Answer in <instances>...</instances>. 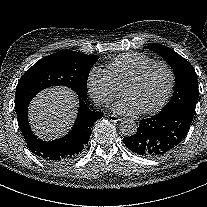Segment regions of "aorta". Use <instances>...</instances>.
Here are the masks:
<instances>
[{
	"mask_svg": "<svg viewBox=\"0 0 207 207\" xmlns=\"http://www.w3.org/2000/svg\"><path fill=\"white\" fill-rule=\"evenodd\" d=\"M119 129L123 135L130 137L136 134L138 126L134 120L127 118L120 123Z\"/></svg>",
	"mask_w": 207,
	"mask_h": 207,
	"instance_id": "aorta-1",
	"label": "aorta"
}]
</instances>
